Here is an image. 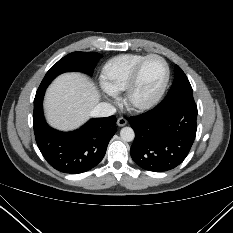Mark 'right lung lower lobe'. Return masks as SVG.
Listing matches in <instances>:
<instances>
[{
	"label": "right lung lower lobe",
	"mask_w": 233,
	"mask_h": 233,
	"mask_svg": "<svg viewBox=\"0 0 233 233\" xmlns=\"http://www.w3.org/2000/svg\"><path fill=\"white\" fill-rule=\"evenodd\" d=\"M45 90L34 99L35 139L45 160L56 170L78 174L95 167L104 157L108 143L117 131L116 117L91 119L73 132H60L44 119L42 101Z\"/></svg>",
	"instance_id": "98d812e1"
}]
</instances>
